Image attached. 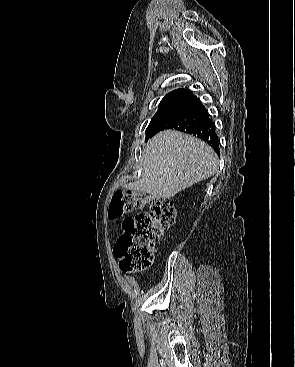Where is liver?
Returning a JSON list of instances; mask_svg holds the SVG:
<instances>
[{"label": "liver", "instance_id": "1", "mask_svg": "<svg viewBox=\"0 0 295 367\" xmlns=\"http://www.w3.org/2000/svg\"><path fill=\"white\" fill-rule=\"evenodd\" d=\"M143 176L128 188L167 199L208 179L218 169V158L205 142L188 134L165 130L143 149Z\"/></svg>", "mask_w": 295, "mask_h": 367}]
</instances>
